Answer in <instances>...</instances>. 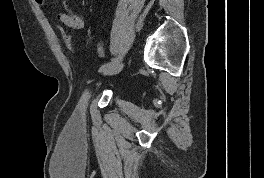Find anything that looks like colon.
I'll list each match as a JSON object with an SVG mask.
<instances>
[{"mask_svg": "<svg viewBox=\"0 0 264 178\" xmlns=\"http://www.w3.org/2000/svg\"><path fill=\"white\" fill-rule=\"evenodd\" d=\"M63 39L67 45V47L73 51V44H72V40H71V37L65 33H63Z\"/></svg>", "mask_w": 264, "mask_h": 178, "instance_id": "obj_1", "label": "colon"}]
</instances>
